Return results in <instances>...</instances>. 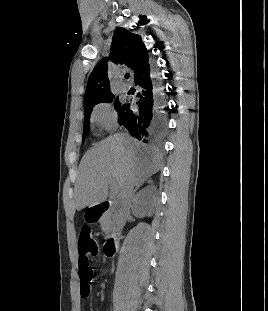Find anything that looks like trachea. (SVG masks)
<instances>
[{
    "label": "trachea",
    "instance_id": "1",
    "mask_svg": "<svg viewBox=\"0 0 268 311\" xmlns=\"http://www.w3.org/2000/svg\"><path fill=\"white\" fill-rule=\"evenodd\" d=\"M129 76H130L129 73H126V74H125V78H126V79H128Z\"/></svg>",
    "mask_w": 268,
    "mask_h": 311
}]
</instances>
